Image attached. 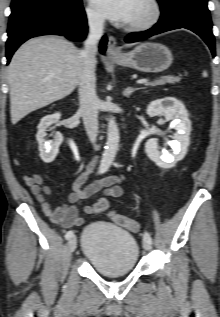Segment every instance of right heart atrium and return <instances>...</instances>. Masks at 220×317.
<instances>
[{"instance_id":"d8ad5b80","label":"right heart atrium","mask_w":220,"mask_h":317,"mask_svg":"<svg viewBox=\"0 0 220 317\" xmlns=\"http://www.w3.org/2000/svg\"><path fill=\"white\" fill-rule=\"evenodd\" d=\"M86 18L89 24L93 27H101L104 23L102 16L91 6H87L86 10Z\"/></svg>"}]
</instances>
